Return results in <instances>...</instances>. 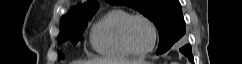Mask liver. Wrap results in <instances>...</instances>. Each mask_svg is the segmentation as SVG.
Segmentation results:
<instances>
[{
  "label": "liver",
  "mask_w": 242,
  "mask_h": 64,
  "mask_svg": "<svg viewBox=\"0 0 242 64\" xmlns=\"http://www.w3.org/2000/svg\"><path fill=\"white\" fill-rule=\"evenodd\" d=\"M142 60H116V59H92L85 62L78 61L75 64H139Z\"/></svg>",
  "instance_id": "1"
}]
</instances>
